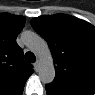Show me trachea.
Returning <instances> with one entry per match:
<instances>
[{
	"label": "trachea",
	"mask_w": 95,
	"mask_h": 95,
	"mask_svg": "<svg viewBox=\"0 0 95 95\" xmlns=\"http://www.w3.org/2000/svg\"><path fill=\"white\" fill-rule=\"evenodd\" d=\"M25 60L30 62V63H34L36 61V57L32 52H27L24 56Z\"/></svg>",
	"instance_id": "1"
}]
</instances>
